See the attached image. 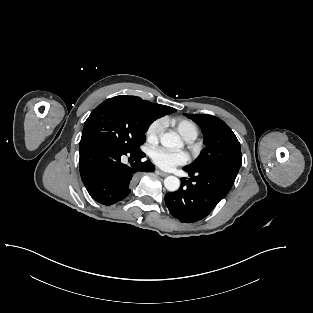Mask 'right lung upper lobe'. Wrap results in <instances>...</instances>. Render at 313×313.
<instances>
[{
    "mask_svg": "<svg viewBox=\"0 0 313 313\" xmlns=\"http://www.w3.org/2000/svg\"><path fill=\"white\" fill-rule=\"evenodd\" d=\"M125 98L131 99L139 104H142L145 106L151 113L152 115L157 119L160 118L164 115L171 114L175 112L176 110L172 107L165 106V105H160V104H154L150 103L146 100H142L140 97H135V96H126V95H121Z\"/></svg>",
    "mask_w": 313,
    "mask_h": 313,
    "instance_id": "1",
    "label": "right lung upper lobe"
}]
</instances>
